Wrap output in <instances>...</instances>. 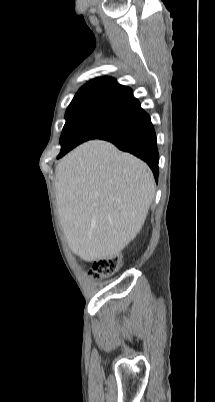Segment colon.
Segmentation results:
<instances>
[{
	"instance_id": "1",
	"label": "colon",
	"mask_w": 215,
	"mask_h": 402,
	"mask_svg": "<svg viewBox=\"0 0 215 402\" xmlns=\"http://www.w3.org/2000/svg\"><path fill=\"white\" fill-rule=\"evenodd\" d=\"M121 266L119 256H110L97 259L93 262L92 277L95 279L112 276Z\"/></svg>"
}]
</instances>
